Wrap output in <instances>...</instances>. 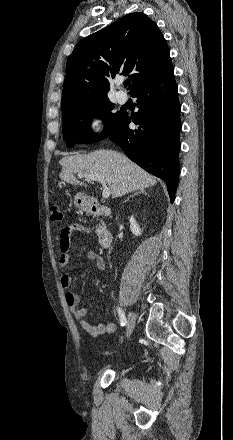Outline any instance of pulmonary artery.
<instances>
[{
    "label": "pulmonary artery",
    "mask_w": 233,
    "mask_h": 440,
    "mask_svg": "<svg viewBox=\"0 0 233 440\" xmlns=\"http://www.w3.org/2000/svg\"><path fill=\"white\" fill-rule=\"evenodd\" d=\"M116 97H117L118 102L121 103V104L125 103L127 101V99H128L127 94L124 93V92H121V91H119L116 94Z\"/></svg>",
    "instance_id": "obj_1"
}]
</instances>
